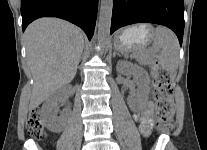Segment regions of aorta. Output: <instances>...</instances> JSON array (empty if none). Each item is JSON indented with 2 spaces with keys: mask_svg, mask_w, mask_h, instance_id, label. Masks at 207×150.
<instances>
[{
  "mask_svg": "<svg viewBox=\"0 0 207 150\" xmlns=\"http://www.w3.org/2000/svg\"><path fill=\"white\" fill-rule=\"evenodd\" d=\"M112 9L113 0H101L98 23V41L102 48H105L110 40Z\"/></svg>",
  "mask_w": 207,
  "mask_h": 150,
  "instance_id": "1",
  "label": "aorta"
}]
</instances>
